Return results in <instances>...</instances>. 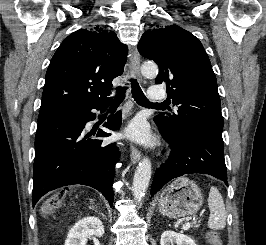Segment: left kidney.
Instances as JSON below:
<instances>
[{
	"instance_id": "5707ae66",
	"label": "left kidney",
	"mask_w": 266,
	"mask_h": 245,
	"mask_svg": "<svg viewBox=\"0 0 266 245\" xmlns=\"http://www.w3.org/2000/svg\"><path fill=\"white\" fill-rule=\"evenodd\" d=\"M161 245H196L189 235H181L175 231H164L161 235Z\"/></svg>"
}]
</instances>
